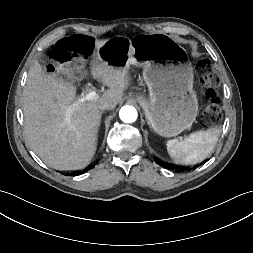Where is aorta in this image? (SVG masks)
Segmentation results:
<instances>
[{
	"label": "aorta",
	"mask_w": 253,
	"mask_h": 253,
	"mask_svg": "<svg viewBox=\"0 0 253 253\" xmlns=\"http://www.w3.org/2000/svg\"><path fill=\"white\" fill-rule=\"evenodd\" d=\"M120 119L125 123H133L138 117L137 110L133 106H123L119 112Z\"/></svg>",
	"instance_id": "762f6f07"
}]
</instances>
